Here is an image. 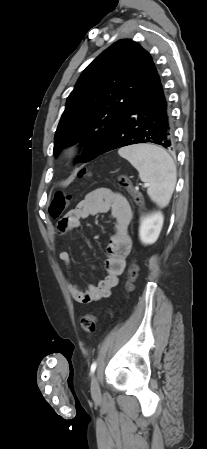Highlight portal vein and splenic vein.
<instances>
[{
  "label": "portal vein and splenic vein",
  "mask_w": 207,
  "mask_h": 449,
  "mask_svg": "<svg viewBox=\"0 0 207 449\" xmlns=\"http://www.w3.org/2000/svg\"><path fill=\"white\" fill-rule=\"evenodd\" d=\"M148 186H149V184H148V183H145V184H144V187H148Z\"/></svg>",
  "instance_id": "portal-vein-and-splenic-vein-1"
}]
</instances>
